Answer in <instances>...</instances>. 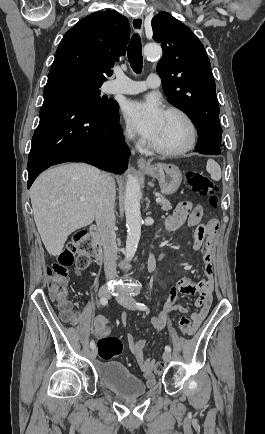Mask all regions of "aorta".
<instances>
[{
    "instance_id": "aorta-1",
    "label": "aorta",
    "mask_w": 265,
    "mask_h": 434,
    "mask_svg": "<svg viewBox=\"0 0 265 434\" xmlns=\"http://www.w3.org/2000/svg\"><path fill=\"white\" fill-rule=\"evenodd\" d=\"M144 56L148 58H155L158 54H161V48L156 44H147L143 48ZM140 184L137 178L134 176H128L126 182V192L124 198L126 226H127V240L125 258L126 260H132L139 244L141 236V212H140Z\"/></svg>"
}]
</instances>
